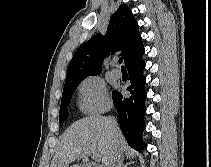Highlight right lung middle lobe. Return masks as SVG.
Listing matches in <instances>:
<instances>
[{"mask_svg":"<svg viewBox=\"0 0 211 167\" xmlns=\"http://www.w3.org/2000/svg\"><path fill=\"white\" fill-rule=\"evenodd\" d=\"M82 80L83 79L65 83L64 90H63V93H62L60 112H59V121L60 122H62L65 119L68 118L69 113H68V110H67V106L69 105L72 94L74 93L75 89L77 88V86L79 85V83Z\"/></svg>","mask_w":211,"mask_h":167,"instance_id":"right-lung-middle-lobe-1","label":"right lung middle lobe"}]
</instances>
